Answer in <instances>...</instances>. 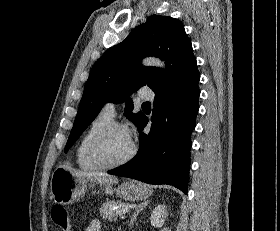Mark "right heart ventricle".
<instances>
[{
  "label": "right heart ventricle",
  "instance_id": "right-heart-ventricle-1",
  "mask_svg": "<svg viewBox=\"0 0 280 231\" xmlns=\"http://www.w3.org/2000/svg\"><path fill=\"white\" fill-rule=\"evenodd\" d=\"M111 121V118L100 113L90 122L87 129L77 142L74 150V157L76 165L81 170L95 171L101 169L99 166L90 161L88 157V146L95 134Z\"/></svg>",
  "mask_w": 280,
  "mask_h": 231
}]
</instances>
